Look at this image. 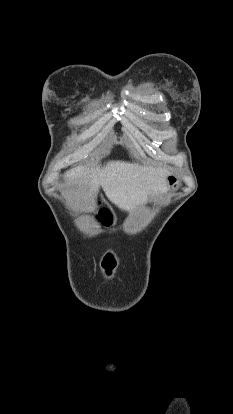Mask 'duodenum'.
<instances>
[{"label": "duodenum", "instance_id": "410a0bca", "mask_svg": "<svg viewBox=\"0 0 233 414\" xmlns=\"http://www.w3.org/2000/svg\"><path fill=\"white\" fill-rule=\"evenodd\" d=\"M99 206H104V201H99Z\"/></svg>", "mask_w": 233, "mask_h": 414}]
</instances>
